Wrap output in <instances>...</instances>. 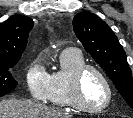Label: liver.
<instances>
[{
    "label": "liver",
    "instance_id": "1",
    "mask_svg": "<svg viewBox=\"0 0 133 118\" xmlns=\"http://www.w3.org/2000/svg\"><path fill=\"white\" fill-rule=\"evenodd\" d=\"M0 118H72V115L39 103L8 99L0 101Z\"/></svg>",
    "mask_w": 133,
    "mask_h": 118
}]
</instances>
